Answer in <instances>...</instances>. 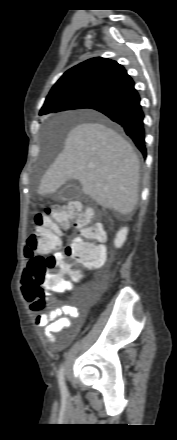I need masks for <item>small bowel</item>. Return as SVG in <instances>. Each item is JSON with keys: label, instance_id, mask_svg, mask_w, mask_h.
<instances>
[{"label": "small bowel", "instance_id": "obj_1", "mask_svg": "<svg viewBox=\"0 0 177 440\" xmlns=\"http://www.w3.org/2000/svg\"><path fill=\"white\" fill-rule=\"evenodd\" d=\"M25 270L30 271L26 266ZM72 288L68 283L60 292L68 291ZM81 313L77 307L72 305H60L52 308L49 312L40 314L36 318V324L44 328V335L48 342L54 346H61L68 343L71 338V332L77 329L73 319L80 317ZM68 331L69 333L59 339L56 334Z\"/></svg>", "mask_w": 177, "mask_h": 440}]
</instances>
